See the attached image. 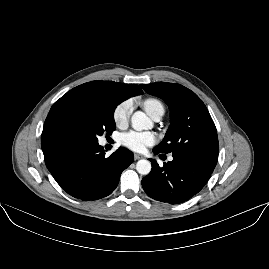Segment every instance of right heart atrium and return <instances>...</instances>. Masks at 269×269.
<instances>
[{
  "label": "right heart atrium",
  "instance_id": "d8ad5b80",
  "mask_svg": "<svg viewBox=\"0 0 269 269\" xmlns=\"http://www.w3.org/2000/svg\"><path fill=\"white\" fill-rule=\"evenodd\" d=\"M133 110L131 100L127 99L120 102L113 111V120L116 126L121 127L127 123Z\"/></svg>",
  "mask_w": 269,
  "mask_h": 269
}]
</instances>
